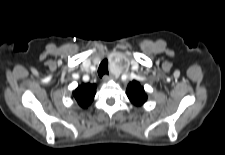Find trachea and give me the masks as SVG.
Wrapping results in <instances>:
<instances>
[{
	"label": "trachea",
	"instance_id": "1",
	"mask_svg": "<svg viewBox=\"0 0 225 155\" xmlns=\"http://www.w3.org/2000/svg\"><path fill=\"white\" fill-rule=\"evenodd\" d=\"M98 75L102 77L103 75H108V61L107 59L103 60L98 69Z\"/></svg>",
	"mask_w": 225,
	"mask_h": 155
}]
</instances>
